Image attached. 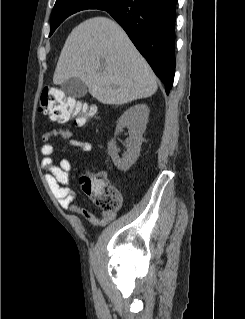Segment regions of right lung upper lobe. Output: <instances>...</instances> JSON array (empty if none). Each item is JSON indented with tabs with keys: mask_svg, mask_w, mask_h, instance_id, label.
<instances>
[{
	"mask_svg": "<svg viewBox=\"0 0 245 319\" xmlns=\"http://www.w3.org/2000/svg\"><path fill=\"white\" fill-rule=\"evenodd\" d=\"M68 1H80V0H68ZM74 10H75V11H74V13H75V12H77L78 10H81V9H80V8H75ZM102 10H103V9H102Z\"/></svg>",
	"mask_w": 245,
	"mask_h": 319,
	"instance_id": "right-lung-upper-lobe-1",
	"label": "right lung upper lobe"
}]
</instances>
